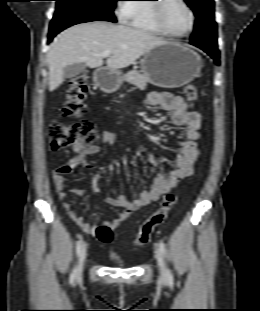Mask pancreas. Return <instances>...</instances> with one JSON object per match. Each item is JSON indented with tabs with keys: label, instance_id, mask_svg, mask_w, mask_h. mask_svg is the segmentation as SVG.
<instances>
[{
	"label": "pancreas",
	"instance_id": "cf45deb5",
	"mask_svg": "<svg viewBox=\"0 0 260 311\" xmlns=\"http://www.w3.org/2000/svg\"><path fill=\"white\" fill-rule=\"evenodd\" d=\"M123 80L135 85L140 90H144L149 82L148 78L136 70L129 71L123 76Z\"/></svg>",
	"mask_w": 260,
	"mask_h": 311
}]
</instances>
